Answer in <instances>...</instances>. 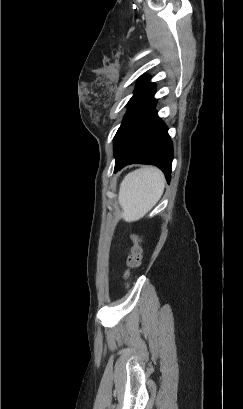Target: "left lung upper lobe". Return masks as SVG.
<instances>
[{
  "instance_id": "obj_1",
  "label": "left lung upper lobe",
  "mask_w": 243,
  "mask_h": 409,
  "mask_svg": "<svg viewBox=\"0 0 243 409\" xmlns=\"http://www.w3.org/2000/svg\"><path fill=\"white\" fill-rule=\"evenodd\" d=\"M148 81H149V79L147 77H142V78L139 79V81L137 83V87L135 89V93H134L133 97L130 99V101L128 102L127 105H130L133 102V100L139 95V93L147 85ZM117 154H118V146H117V143H116L115 138H114V155H115V157H117Z\"/></svg>"
}]
</instances>
